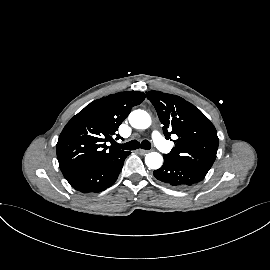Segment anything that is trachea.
<instances>
[{
	"instance_id": "obj_1",
	"label": "trachea",
	"mask_w": 270,
	"mask_h": 270,
	"mask_svg": "<svg viewBox=\"0 0 270 270\" xmlns=\"http://www.w3.org/2000/svg\"><path fill=\"white\" fill-rule=\"evenodd\" d=\"M113 146L114 148L123 150H135L138 149L139 147L145 150H149L151 148V143L148 140H143L141 143H139L137 140H132L125 144L114 143Z\"/></svg>"
}]
</instances>
